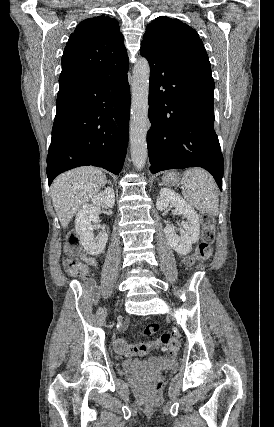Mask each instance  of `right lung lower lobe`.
Returning <instances> with one entry per match:
<instances>
[{"instance_id": "1", "label": "right lung lower lobe", "mask_w": 274, "mask_h": 427, "mask_svg": "<svg viewBox=\"0 0 274 427\" xmlns=\"http://www.w3.org/2000/svg\"><path fill=\"white\" fill-rule=\"evenodd\" d=\"M128 64L101 80L57 96L47 156L49 185L60 173L93 165L118 175L126 156L130 89Z\"/></svg>"}]
</instances>
